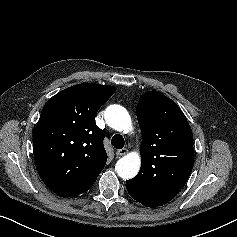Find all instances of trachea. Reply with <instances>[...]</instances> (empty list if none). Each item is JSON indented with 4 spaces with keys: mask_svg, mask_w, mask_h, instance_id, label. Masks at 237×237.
<instances>
[{
    "mask_svg": "<svg viewBox=\"0 0 237 237\" xmlns=\"http://www.w3.org/2000/svg\"><path fill=\"white\" fill-rule=\"evenodd\" d=\"M111 144L116 149H122L124 147V144H125L124 138L121 135L116 134L112 137Z\"/></svg>",
    "mask_w": 237,
    "mask_h": 237,
    "instance_id": "3493384b",
    "label": "trachea"
}]
</instances>
